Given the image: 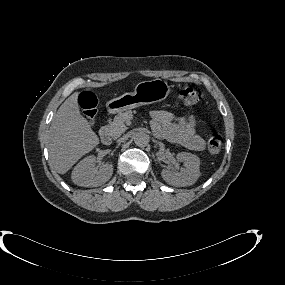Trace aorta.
Instances as JSON below:
<instances>
[{
    "instance_id": "aorta-1",
    "label": "aorta",
    "mask_w": 285,
    "mask_h": 285,
    "mask_svg": "<svg viewBox=\"0 0 285 285\" xmlns=\"http://www.w3.org/2000/svg\"><path fill=\"white\" fill-rule=\"evenodd\" d=\"M134 143L139 147L147 146L149 143V135L143 131L135 133Z\"/></svg>"
}]
</instances>
